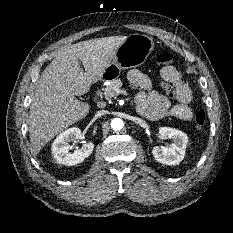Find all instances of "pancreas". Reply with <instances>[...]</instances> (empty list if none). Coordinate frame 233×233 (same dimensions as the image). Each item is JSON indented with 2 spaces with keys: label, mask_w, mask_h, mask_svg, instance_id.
<instances>
[{
  "label": "pancreas",
  "mask_w": 233,
  "mask_h": 233,
  "mask_svg": "<svg viewBox=\"0 0 233 233\" xmlns=\"http://www.w3.org/2000/svg\"><path fill=\"white\" fill-rule=\"evenodd\" d=\"M122 81L120 79H113L110 83L104 88V95L106 98H111L118 95V91L122 87Z\"/></svg>",
  "instance_id": "pancreas-1"
}]
</instances>
